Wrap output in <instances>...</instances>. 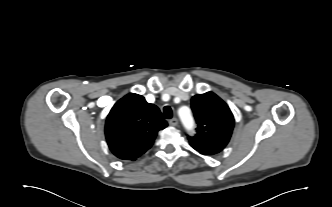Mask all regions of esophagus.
Instances as JSON below:
<instances>
[{"instance_id":"34e87169","label":"esophagus","mask_w":332,"mask_h":207,"mask_svg":"<svg viewBox=\"0 0 332 207\" xmlns=\"http://www.w3.org/2000/svg\"><path fill=\"white\" fill-rule=\"evenodd\" d=\"M169 124L171 125V126H177L178 125V119L177 118H172V119H170L169 120Z\"/></svg>"}]
</instances>
